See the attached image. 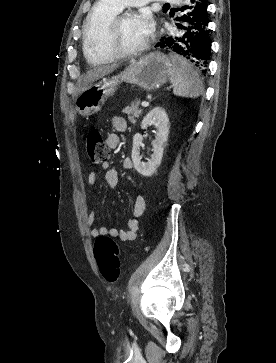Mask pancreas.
I'll return each instance as SVG.
<instances>
[{"label":"pancreas","mask_w":276,"mask_h":363,"mask_svg":"<svg viewBox=\"0 0 276 363\" xmlns=\"http://www.w3.org/2000/svg\"><path fill=\"white\" fill-rule=\"evenodd\" d=\"M122 112L128 115V119L131 123H135L136 119L142 114L140 100L132 102L130 106L125 107Z\"/></svg>","instance_id":"pancreas-1"}]
</instances>
